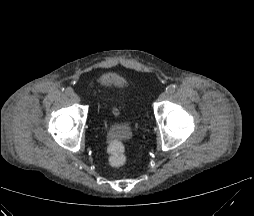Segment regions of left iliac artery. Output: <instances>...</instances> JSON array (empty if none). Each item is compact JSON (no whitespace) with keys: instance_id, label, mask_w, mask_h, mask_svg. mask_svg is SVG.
I'll return each instance as SVG.
<instances>
[{"instance_id":"44dca946","label":"left iliac artery","mask_w":254,"mask_h":216,"mask_svg":"<svg viewBox=\"0 0 254 216\" xmlns=\"http://www.w3.org/2000/svg\"><path fill=\"white\" fill-rule=\"evenodd\" d=\"M175 90H176V86L173 85V84H172V85H169V86L166 88V92H167L168 94L174 93Z\"/></svg>"}]
</instances>
